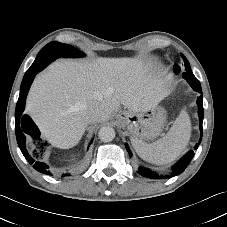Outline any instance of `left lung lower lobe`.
<instances>
[{
    "instance_id": "obj_1",
    "label": "left lung lower lobe",
    "mask_w": 227,
    "mask_h": 227,
    "mask_svg": "<svg viewBox=\"0 0 227 227\" xmlns=\"http://www.w3.org/2000/svg\"><path fill=\"white\" fill-rule=\"evenodd\" d=\"M197 92H199L201 95L198 97L197 99V104H198V116H199V128H200V132H201V137L199 140V143L196 144L195 146V150L198 148L201 139H202V123H203V116H204V110H203V100H202V90L201 89H196ZM126 149L129 153V156H132V153L130 151V148L128 147V145H125ZM194 156V151H189L184 157H182L172 168L173 170V176L179 175L180 173H182L185 168L189 165V163L191 162L192 158ZM139 174H141L144 177H149L152 179H158L160 178L158 175H156L154 172H152L151 170L145 168V167H139Z\"/></svg>"
}]
</instances>
